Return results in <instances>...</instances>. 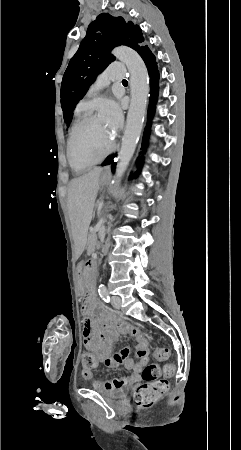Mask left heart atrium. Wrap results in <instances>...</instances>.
<instances>
[{
  "label": "left heart atrium",
  "mask_w": 241,
  "mask_h": 450,
  "mask_svg": "<svg viewBox=\"0 0 241 450\" xmlns=\"http://www.w3.org/2000/svg\"><path fill=\"white\" fill-rule=\"evenodd\" d=\"M107 111L110 115V123L114 129H118L122 125V116L119 109L112 103L107 104Z\"/></svg>",
  "instance_id": "obj_1"
}]
</instances>
